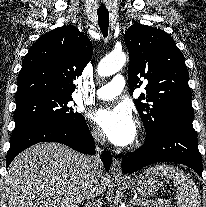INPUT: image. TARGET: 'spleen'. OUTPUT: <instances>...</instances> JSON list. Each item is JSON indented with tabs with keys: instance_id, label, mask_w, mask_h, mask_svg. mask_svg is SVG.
Segmentation results:
<instances>
[{
	"instance_id": "3e777b00",
	"label": "spleen",
	"mask_w": 206,
	"mask_h": 207,
	"mask_svg": "<svg viewBox=\"0 0 206 207\" xmlns=\"http://www.w3.org/2000/svg\"><path fill=\"white\" fill-rule=\"evenodd\" d=\"M146 174L162 176L173 180L176 187V204L178 207H201L199 190L193 180L175 166L162 164L147 169Z\"/></svg>"
}]
</instances>
